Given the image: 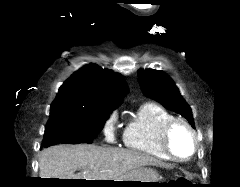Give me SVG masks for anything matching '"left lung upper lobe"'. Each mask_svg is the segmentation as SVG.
Here are the masks:
<instances>
[{
  "label": "left lung upper lobe",
  "instance_id": "obj_1",
  "mask_svg": "<svg viewBox=\"0 0 240 187\" xmlns=\"http://www.w3.org/2000/svg\"><path fill=\"white\" fill-rule=\"evenodd\" d=\"M137 74L141 89L146 96L157 100L167 109L181 114L194 126L190 106L168 75L154 69L139 70Z\"/></svg>",
  "mask_w": 240,
  "mask_h": 187
}]
</instances>
